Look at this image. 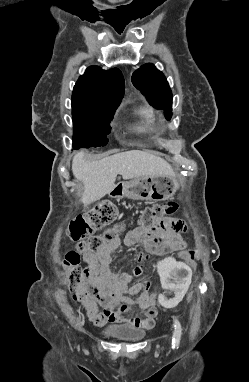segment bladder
<instances>
[{
	"label": "bladder",
	"instance_id": "bladder-1",
	"mask_svg": "<svg viewBox=\"0 0 249 382\" xmlns=\"http://www.w3.org/2000/svg\"><path fill=\"white\" fill-rule=\"evenodd\" d=\"M103 334L112 340L134 342L142 339L143 330L128 325H109L103 329Z\"/></svg>",
	"mask_w": 249,
	"mask_h": 382
}]
</instances>
